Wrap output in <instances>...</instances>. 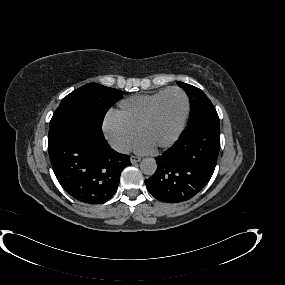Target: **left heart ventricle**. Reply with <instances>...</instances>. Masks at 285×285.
Here are the masks:
<instances>
[{"instance_id": "b2bd125f", "label": "left heart ventricle", "mask_w": 285, "mask_h": 285, "mask_svg": "<svg viewBox=\"0 0 285 285\" xmlns=\"http://www.w3.org/2000/svg\"><path fill=\"white\" fill-rule=\"evenodd\" d=\"M185 107V99L181 93L171 92L166 95L141 138L154 148L170 141L179 128Z\"/></svg>"}]
</instances>
